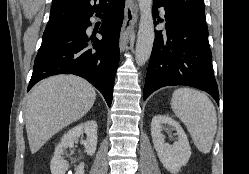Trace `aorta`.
Instances as JSON below:
<instances>
[{
  "mask_svg": "<svg viewBox=\"0 0 249 174\" xmlns=\"http://www.w3.org/2000/svg\"><path fill=\"white\" fill-rule=\"evenodd\" d=\"M140 10L139 30L136 42L135 60L143 66L150 58L155 38L152 17V0H138Z\"/></svg>",
  "mask_w": 249,
  "mask_h": 174,
  "instance_id": "aorta-1",
  "label": "aorta"
}]
</instances>
